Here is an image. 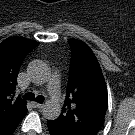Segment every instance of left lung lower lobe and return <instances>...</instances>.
Returning <instances> with one entry per match:
<instances>
[{
    "label": "left lung lower lobe",
    "mask_w": 135,
    "mask_h": 135,
    "mask_svg": "<svg viewBox=\"0 0 135 135\" xmlns=\"http://www.w3.org/2000/svg\"><path fill=\"white\" fill-rule=\"evenodd\" d=\"M50 135H68L64 131L58 129L52 121H47Z\"/></svg>",
    "instance_id": "0a47b994"
}]
</instances>
